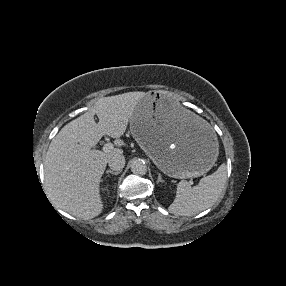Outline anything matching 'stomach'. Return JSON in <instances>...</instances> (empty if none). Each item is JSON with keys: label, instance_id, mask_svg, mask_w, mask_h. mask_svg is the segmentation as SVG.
<instances>
[{"label": "stomach", "instance_id": "1", "mask_svg": "<svg viewBox=\"0 0 286 286\" xmlns=\"http://www.w3.org/2000/svg\"><path fill=\"white\" fill-rule=\"evenodd\" d=\"M130 131L154 164L170 177H199L218 157L212 125L185 111L179 100L163 91L146 93L137 102Z\"/></svg>", "mask_w": 286, "mask_h": 286}]
</instances>
